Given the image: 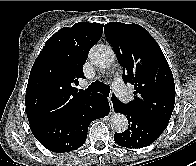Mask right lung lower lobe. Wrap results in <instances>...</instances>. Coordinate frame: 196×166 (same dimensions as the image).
<instances>
[{"label":"right lung lower lobe","instance_id":"right-lung-lower-lobe-1","mask_svg":"<svg viewBox=\"0 0 196 166\" xmlns=\"http://www.w3.org/2000/svg\"><path fill=\"white\" fill-rule=\"evenodd\" d=\"M109 110L107 98L95 94L73 112L57 119L30 125V129L36 139L50 151L69 152L85 143L90 122L108 115Z\"/></svg>","mask_w":196,"mask_h":166}]
</instances>
